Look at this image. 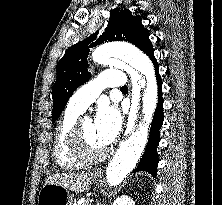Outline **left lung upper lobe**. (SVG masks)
<instances>
[{
  "mask_svg": "<svg viewBox=\"0 0 222 205\" xmlns=\"http://www.w3.org/2000/svg\"><path fill=\"white\" fill-rule=\"evenodd\" d=\"M147 37L148 30L144 28L139 15L135 16L127 9L115 8L111 11L105 30L96 31L87 39L71 46L57 63V79L52 88V122L58 119L76 88L89 80L91 75L87 71V56L91 47L121 40L140 49Z\"/></svg>",
  "mask_w": 222,
  "mask_h": 205,
  "instance_id": "left-lung-upper-lobe-1",
  "label": "left lung upper lobe"
}]
</instances>
